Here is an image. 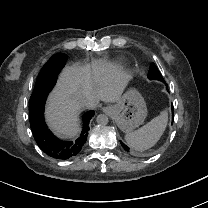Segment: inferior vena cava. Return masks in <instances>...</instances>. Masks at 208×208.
Returning <instances> with one entry per match:
<instances>
[{
    "label": "inferior vena cava",
    "mask_w": 208,
    "mask_h": 208,
    "mask_svg": "<svg viewBox=\"0 0 208 208\" xmlns=\"http://www.w3.org/2000/svg\"><path fill=\"white\" fill-rule=\"evenodd\" d=\"M79 103L82 105H88L90 103L89 99L85 97L83 94H78Z\"/></svg>",
    "instance_id": "inferior-vena-cava-1"
}]
</instances>
